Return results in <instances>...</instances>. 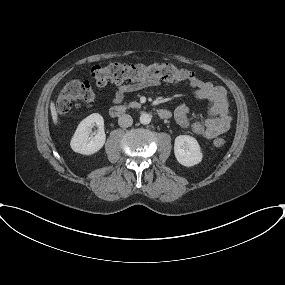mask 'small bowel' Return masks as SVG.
Listing matches in <instances>:
<instances>
[{
	"instance_id": "obj_1",
	"label": "small bowel",
	"mask_w": 285,
	"mask_h": 285,
	"mask_svg": "<svg viewBox=\"0 0 285 285\" xmlns=\"http://www.w3.org/2000/svg\"><path fill=\"white\" fill-rule=\"evenodd\" d=\"M158 83L159 81L156 80H141L131 83L119 82L116 85L113 101L119 103L125 94L136 92ZM187 85L191 88V94L194 97L210 101L211 106L203 118L192 120L188 116L190 108L185 104H180L174 112L177 124L183 130L190 131L205 139H213L228 131L231 115L226 90L222 86L199 79Z\"/></svg>"
}]
</instances>
